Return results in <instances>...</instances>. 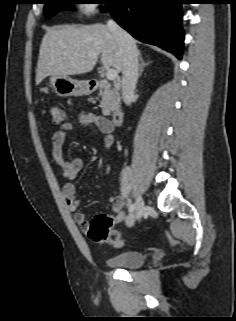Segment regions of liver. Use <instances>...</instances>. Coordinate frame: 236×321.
I'll use <instances>...</instances> for the list:
<instances>
[{
  "label": "liver",
  "instance_id": "liver-1",
  "mask_svg": "<svg viewBox=\"0 0 236 321\" xmlns=\"http://www.w3.org/2000/svg\"><path fill=\"white\" fill-rule=\"evenodd\" d=\"M105 67L123 71L124 53L107 25L58 26L44 35L36 69V85L47 76L90 72L99 56Z\"/></svg>",
  "mask_w": 236,
  "mask_h": 321
}]
</instances>
